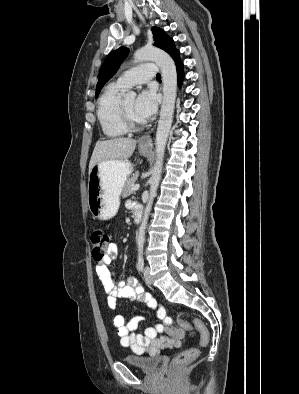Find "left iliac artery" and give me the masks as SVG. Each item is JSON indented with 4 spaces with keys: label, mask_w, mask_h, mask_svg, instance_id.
<instances>
[{
    "label": "left iliac artery",
    "mask_w": 299,
    "mask_h": 394,
    "mask_svg": "<svg viewBox=\"0 0 299 394\" xmlns=\"http://www.w3.org/2000/svg\"><path fill=\"white\" fill-rule=\"evenodd\" d=\"M143 268H144V258H143V256H139V258H138V269L140 271H143Z\"/></svg>",
    "instance_id": "44dca946"
}]
</instances>
